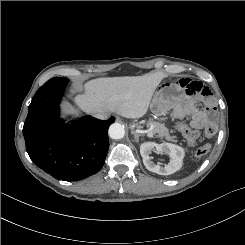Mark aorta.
<instances>
[{
    "mask_svg": "<svg viewBox=\"0 0 245 245\" xmlns=\"http://www.w3.org/2000/svg\"><path fill=\"white\" fill-rule=\"evenodd\" d=\"M108 133L112 139H121L125 135L124 126L120 123H113L110 125Z\"/></svg>",
    "mask_w": 245,
    "mask_h": 245,
    "instance_id": "aorta-1",
    "label": "aorta"
}]
</instances>
